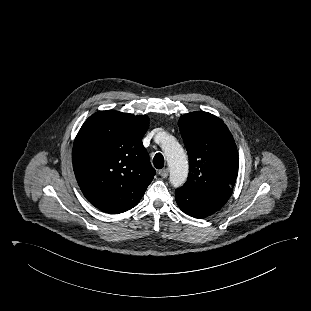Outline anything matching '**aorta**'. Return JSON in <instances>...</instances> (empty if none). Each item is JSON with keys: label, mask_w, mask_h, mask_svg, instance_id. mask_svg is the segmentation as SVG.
<instances>
[{"label": "aorta", "mask_w": 311, "mask_h": 311, "mask_svg": "<svg viewBox=\"0 0 311 311\" xmlns=\"http://www.w3.org/2000/svg\"><path fill=\"white\" fill-rule=\"evenodd\" d=\"M161 146L170 168V183L173 187L182 186L188 176L186 154L177 140L164 132L160 133Z\"/></svg>", "instance_id": "1"}]
</instances>
